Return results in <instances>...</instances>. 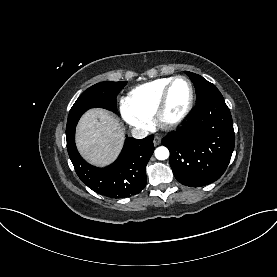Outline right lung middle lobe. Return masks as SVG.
Segmentation results:
<instances>
[{
	"instance_id": "right-lung-middle-lobe-1",
	"label": "right lung middle lobe",
	"mask_w": 277,
	"mask_h": 277,
	"mask_svg": "<svg viewBox=\"0 0 277 277\" xmlns=\"http://www.w3.org/2000/svg\"><path fill=\"white\" fill-rule=\"evenodd\" d=\"M126 84L127 81L100 82L85 90L69 112L66 133L76 127L82 114L90 108L100 107L116 112V96Z\"/></svg>"
}]
</instances>
